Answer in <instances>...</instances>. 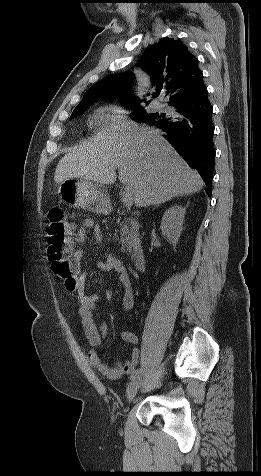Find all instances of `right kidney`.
<instances>
[{
  "mask_svg": "<svg viewBox=\"0 0 261 476\" xmlns=\"http://www.w3.org/2000/svg\"><path fill=\"white\" fill-rule=\"evenodd\" d=\"M186 208L181 205H174L165 211L161 220L162 234L168 241L176 245L183 230V222Z\"/></svg>",
  "mask_w": 261,
  "mask_h": 476,
  "instance_id": "obj_1",
  "label": "right kidney"
}]
</instances>
